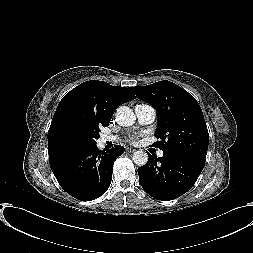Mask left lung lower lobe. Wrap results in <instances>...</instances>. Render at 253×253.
<instances>
[{
    "label": "left lung lower lobe",
    "instance_id": "0a47b994",
    "mask_svg": "<svg viewBox=\"0 0 253 253\" xmlns=\"http://www.w3.org/2000/svg\"><path fill=\"white\" fill-rule=\"evenodd\" d=\"M204 165L205 160L181 152L166 151L158 158L149 155L148 162L138 168L139 182L153 198L173 200L193 187Z\"/></svg>",
    "mask_w": 253,
    "mask_h": 253
}]
</instances>
